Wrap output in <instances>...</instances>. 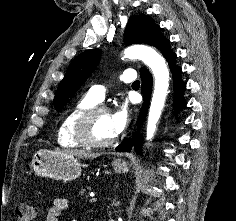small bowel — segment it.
<instances>
[{
    "mask_svg": "<svg viewBox=\"0 0 236 221\" xmlns=\"http://www.w3.org/2000/svg\"><path fill=\"white\" fill-rule=\"evenodd\" d=\"M68 207V201L64 198L54 200L52 207L46 213V221H59V218L64 210Z\"/></svg>",
    "mask_w": 236,
    "mask_h": 221,
    "instance_id": "small-bowel-1",
    "label": "small bowel"
}]
</instances>
